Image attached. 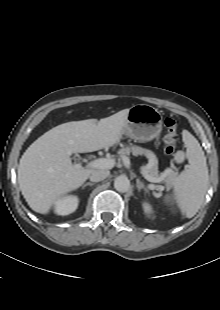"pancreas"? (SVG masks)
<instances>
[{"label":"pancreas","instance_id":"pancreas-1","mask_svg":"<svg viewBox=\"0 0 220 310\" xmlns=\"http://www.w3.org/2000/svg\"><path fill=\"white\" fill-rule=\"evenodd\" d=\"M130 152H132L133 155L144 154L149 159L148 165L144 167V170L149 175L153 177H163V181L166 183L167 186H171L174 183L177 172L168 168L159 175L158 161L153 152L138 146H132L131 148L127 147L122 149L120 151V154H129Z\"/></svg>","mask_w":220,"mask_h":310}]
</instances>
